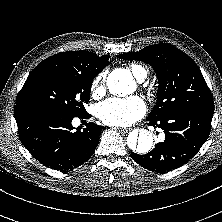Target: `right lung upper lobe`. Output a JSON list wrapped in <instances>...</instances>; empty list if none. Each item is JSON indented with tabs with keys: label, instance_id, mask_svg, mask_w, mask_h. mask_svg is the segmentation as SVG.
Returning <instances> with one entry per match:
<instances>
[{
	"label": "right lung upper lobe",
	"instance_id": "right-lung-upper-lobe-1",
	"mask_svg": "<svg viewBox=\"0 0 222 222\" xmlns=\"http://www.w3.org/2000/svg\"><path fill=\"white\" fill-rule=\"evenodd\" d=\"M109 56L101 57L89 51H67L55 54L39 63L29 74L27 80L36 76L56 71H76L98 75L109 63Z\"/></svg>",
	"mask_w": 222,
	"mask_h": 222
}]
</instances>
